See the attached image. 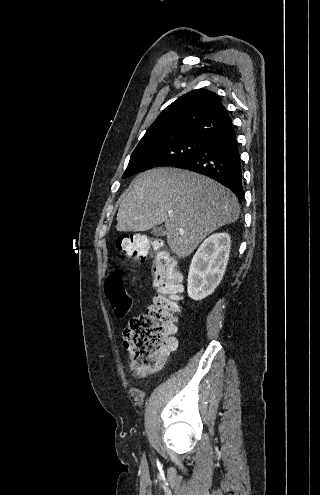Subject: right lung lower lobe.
<instances>
[{
    "label": "right lung lower lobe",
    "instance_id": "obj_1",
    "mask_svg": "<svg viewBox=\"0 0 320 495\" xmlns=\"http://www.w3.org/2000/svg\"><path fill=\"white\" fill-rule=\"evenodd\" d=\"M174 167L213 178L228 187L240 203L244 198L239 145L232 123L211 133L191 158Z\"/></svg>",
    "mask_w": 320,
    "mask_h": 495
}]
</instances>
